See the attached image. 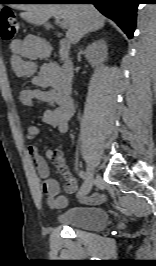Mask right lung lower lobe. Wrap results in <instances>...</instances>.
I'll return each instance as SVG.
<instances>
[{
    "instance_id": "1",
    "label": "right lung lower lobe",
    "mask_w": 156,
    "mask_h": 266,
    "mask_svg": "<svg viewBox=\"0 0 156 266\" xmlns=\"http://www.w3.org/2000/svg\"><path fill=\"white\" fill-rule=\"evenodd\" d=\"M55 4H94L106 17L115 21L128 38L133 37L140 0H46Z\"/></svg>"
}]
</instances>
